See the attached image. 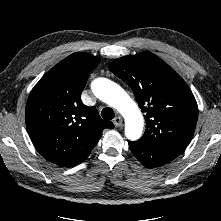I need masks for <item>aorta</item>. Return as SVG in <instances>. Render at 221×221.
<instances>
[{
  "mask_svg": "<svg viewBox=\"0 0 221 221\" xmlns=\"http://www.w3.org/2000/svg\"><path fill=\"white\" fill-rule=\"evenodd\" d=\"M94 95L115 108L125 119V136L129 140L141 137L144 118L137 104L116 83L107 78H97L91 84Z\"/></svg>",
  "mask_w": 221,
  "mask_h": 221,
  "instance_id": "aorta-1",
  "label": "aorta"
}]
</instances>
